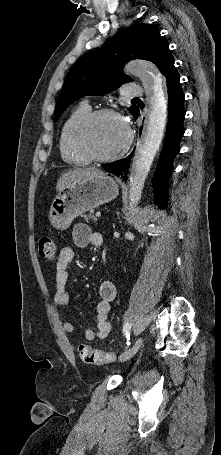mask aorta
I'll list each match as a JSON object with an SVG mask.
<instances>
[{"label": "aorta", "instance_id": "762f6f07", "mask_svg": "<svg viewBox=\"0 0 221 455\" xmlns=\"http://www.w3.org/2000/svg\"><path fill=\"white\" fill-rule=\"evenodd\" d=\"M125 71L141 80L148 100V114L130 169V212L127 217L130 222L131 215L134 214L135 207L141 199L145 179L164 136L167 122V100L162 75L153 63L138 61L127 65ZM128 236L129 233H126V237Z\"/></svg>", "mask_w": 221, "mask_h": 455}]
</instances>
